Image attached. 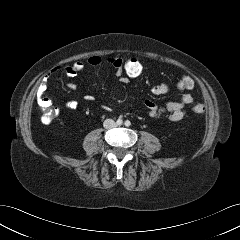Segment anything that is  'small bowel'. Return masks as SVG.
Returning <instances> with one entry per match:
<instances>
[{
  "mask_svg": "<svg viewBox=\"0 0 240 240\" xmlns=\"http://www.w3.org/2000/svg\"><path fill=\"white\" fill-rule=\"evenodd\" d=\"M122 59L118 57H109L103 59L98 55H92L88 58L87 63L92 67H99L103 63L110 65L116 76L119 78L120 82L123 84L128 83L129 78L124 76L121 70ZM85 69V64L81 61H76L70 66H57L53 69V72H62L69 77H74L79 73L83 72ZM67 87L71 90H77L78 86L73 83H67ZM47 90L46 82H43L38 88L37 103L41 107H49L52 104V100L45 96ZM152 93L155 95H162L170 91V85L168 83H159L152 87ZM86 101H93L94 97L90 94L84 95ZM194 102V97L191 94H183L179 101L168 102L163 106H158L153 101L147 99L145 100V107L148 110L149 116L152 118L166 117L172 122H178L186 116L185 107ZM65 106L68 109L74 110L78 107V102L75 100H68L65 103ZM106 110H109L108 107H105Z\"/></svg>",
  "mask_w": 240,
  "mask_h": 240,
  "instance_id": "small-bowel-1",
  "label": "small bowel"
}]
</instances>
